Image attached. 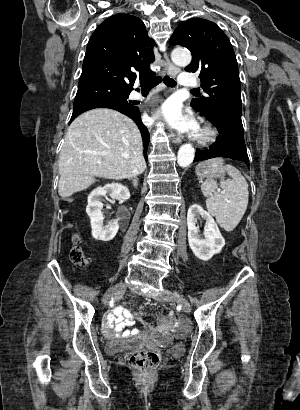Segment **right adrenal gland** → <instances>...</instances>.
Returning a JSON list of instances; mask_svg holds the SVG:
<instances>
[{"mask_svg":"<svg viewBox=\"0 0 300 410\" xmlns=\"http://www.w3.org/2000/svg\"><path fill=\"white\" fill-rule=\"evenodd\" d=\"M128 180H132L134 187H138V178L136 176L128 178Z\"/></svg>","mask_w":300,"mask_h":410,"instance_id":"right-adrenal-gland-1","label":"right adrenal gland"}]
</instances>
